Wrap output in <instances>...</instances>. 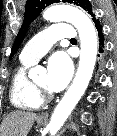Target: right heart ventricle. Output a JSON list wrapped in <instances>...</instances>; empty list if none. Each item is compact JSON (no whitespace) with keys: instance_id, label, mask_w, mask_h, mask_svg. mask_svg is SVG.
Instances as JSON below:
<instances>
[{"instance_id":"right-heart-ventricle-1","label":"right heart ventricle","mask_w":117,"mask_h":136,"mask_svg":"<svg viewBox=\"0 0 117 136\" xmlns=\"http://www.w3.org/2000/svg\"><path fill=\"white\" fill-rule=\"evenodd\" d=\"M32 63L21 60L10 86V100L14 107L21 110H36L42 104L34 82L28 77L27 69Z\"/></svg>"}]
</instances>
